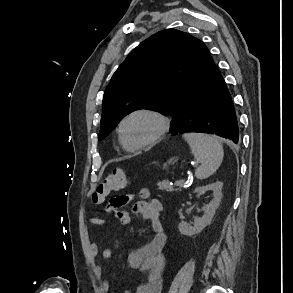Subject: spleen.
Listing matches in <instances>:
<instances>
[{
    "instance_id": "1",
    "label": "spleen",
    "mask_w": 293,
    "mask_h": 293,
    "mask_svg": "<svg viewBox=\"0 0 293 293\" xmlns=\"http://www.w3.org/2000/svg\"><path fill=\"white\" fill-rule=\"evenodd\" d=\"M183 138L189 144L194 157L201 161L195 176L198 179L211 176L223 160L224 152L221 142L215 136L203 133H185Z\"/></svg>"
}]
</instances>
